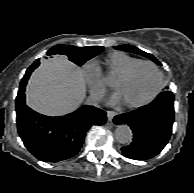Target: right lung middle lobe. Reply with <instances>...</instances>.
Instances as JSON below:
<instances>
[{"label":"right lung middle lobe","mask_w":194,"mask_h":193,"mask_svg":"<svg viewBox=\"0 0 194 193\" xmlns=\"http://www.w3.org/2000/svg\"><path fill=\"white\" fill-rule=\"evenodd\" d=\"M51 49V52L54 54L67 55L70 61L77 65H82L87 60L99 54L104 49V47L99 46L98 48L94 49H82L71 45L60 44L52 47Z\"/></svg>","instance_id":"dd1d6c3e"}]
</instances>
